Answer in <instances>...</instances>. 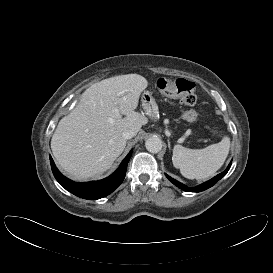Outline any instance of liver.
Returning a JSON list of instances; mask_svg holds the SVG:
<instances>
[{"label":"liver","instance_id":"6515ba94","mask_svg":"<svg viewBox=\"0 0 273 273\" xmlns=\"http://www.w3.org/2000/svg\"><path fill=\"white\" fill-rule=\"evenodd\" d=\"M147 86L143 76L126 74L89 87L52 136L51 149L60 167L76 180L108 170L126 146L122 133L133 130L136 135L146 123L135 110Z\"/></svg>","mask_w":273,"mask_h":273}]
</instances>
